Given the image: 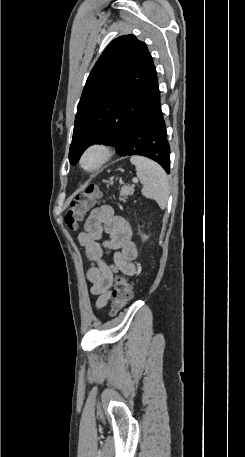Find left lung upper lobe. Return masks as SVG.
I'll return each instance as SVG.
<instances>
[{
	"mask_svg": "<svg viewBox=\"0 0 245 457\" xmlns=\"http://www.w3.org/2000/svg\"><path fill=\"white\" fill-rule=\"evenodd\" d=\"M157 80L145 43L134 35L120 36L94 65L77 107L69 161L76 164L84 145L126 112L143 106Z\"/></svg>",
	"mask_w": 245,
	"mask_h": 457,
	"instance_id": "obj_1",
	"label": "left lung upper lobe"
}]
</instances>
